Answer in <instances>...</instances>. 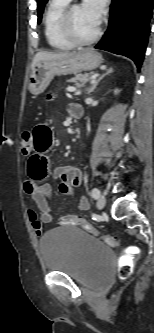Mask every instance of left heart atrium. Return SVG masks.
Returning <instances> with one entry per match:
<instances>
[{"instance_id":"39dd6f15","label":"left heart atrium","mask_w":154,"mask_h":333,"mask_svg":"<svg viewBox=\"0 0 154 333\" xmlns=\"http://www.w3.org/2000/svg\"><path fill=\"white\" fill-rule=\"evenodd\" d=\"M83 10L99 24L105 10L104 0H84L82 3Z\"/></svg>"}]
</instances>
